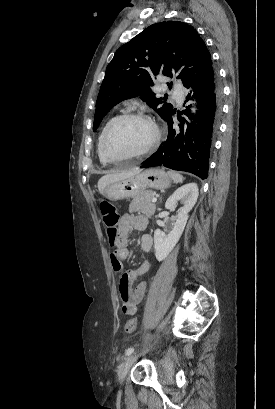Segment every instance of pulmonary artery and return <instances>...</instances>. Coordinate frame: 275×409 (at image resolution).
<instances>
[{
    "label": "pulmonary artery",
    "instance_id": "obj_1",
    "mask_svg": "<svg viewBox=\"0 0 275 409\" xmlns=\"http://www.w3.org/2000/svg\"><path fill=\"white\" fill-rule=\"evenodd\" d=\"M177 100H178L179 103H182V101H183V95H182V94H178V95H177Z\"/></svg>",
    "mask_w": 275,
    "mask_h": 409
}]
</instances>
